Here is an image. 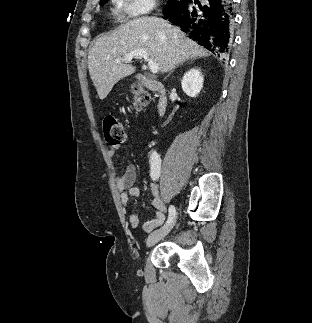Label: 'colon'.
I'll return each instance as SVG.
<instances>
[{
    "label": "colon",
    "instance_id": "colon-1",
    "mask_svg": "<svg viewBox=\"0 0 312 323\" xmlns=\"http://www.w3.org/2000/svg\"><path fill=\"white\" fill-rule=\"evenodd\" d=\"M135 95L133 103L137 107L146 105L150 100V95L135 85ZM104 139L108 145L116 146L124 143L127 137L126 127L116 118L109 116L103 120Z\"/></svg>",
    "mask_w": 312,
    "mask_h": 323
}]
</instances>
